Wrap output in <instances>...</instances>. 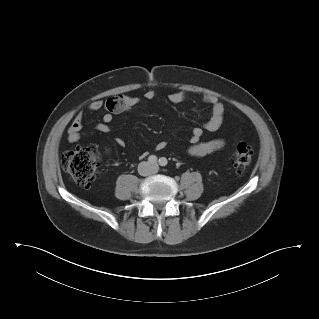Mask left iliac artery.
I'll list each match as a JSON object with an SVG mask.
<instances>
[{
	"label": "left iliac artery",
	"mask_w": 319,
	"mask_h": 319,
	"mask_svg": "<svg viewBox=\"0 0 319 319\" xmlns=\"http://www.w3.org/2000/svg\"><path fill=\"white\" fill-rule=\"evenodd\" d=\"M167 163H168V161H167L166 158L162 157V158L159 159V164H160L161 166H166Z\"/></svg>",
	"instance_id": "obj_1"
}]
</instances>
